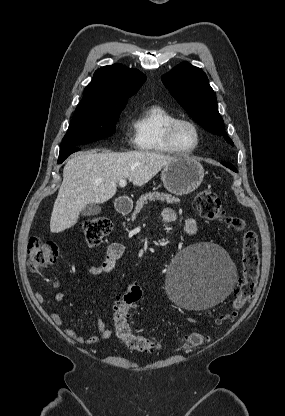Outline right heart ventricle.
<instances>
[{
    "instance_id": "obj_1",
    "label": "right heart ventricle",
    "mask_w": 285,
    "mask_h": 416,
    "mask_svg": "<svg viewBox=\"0 0 285 416\" xmlns=\"http://www.w3.org/2000/svg\"><path fill=\"white\" fill-rule=\"evenodd\" d=\"M176 116L167 107L153 103L144 108L134 120L136 147L152 154H170L165 139L167 125Z\"/></svg>"
}]
</instances>
